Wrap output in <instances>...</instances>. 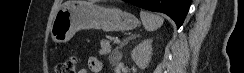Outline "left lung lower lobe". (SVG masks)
Returning <instances> with one entry per match:
<instances>
[{
  "label": "left lung lower lobe",
  "mask_w": 244,
  "mask_h": 73,
  "mask_svg": "<svg viewBox=\"0 0 244 73\" xmlns=\"http://www.w3.org/2000/svg\"><path fill=\"white\" fill-rule=\"evenodd\" d=\"M137 7L154 12H162L170 16L179 28L189 9L191 0H124Z\"/></svg>",
  "instance_id": "0a47b994"
}]
</instances>
